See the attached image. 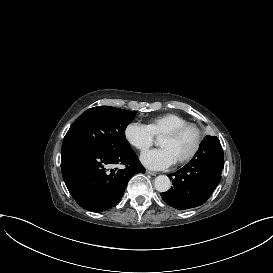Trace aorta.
<instances>
[{
	"instance_id": "aorta-1",
	"label": "aorta",
	"mask_w": 273,
	"mask_h": 273,
	"mask_svg": "<svg viewBox=\"0 0 273 273\" xmlns=\"http://www.w3.org/2000/svg\"><path fill=\"white\" fill-rule=\"evenodd\" d=\"M154 186L159 192H167L171 187V182L168 176L159 175L155 178Z\"/></svg>"
}]
</instances>
